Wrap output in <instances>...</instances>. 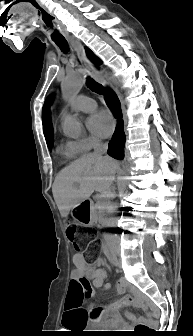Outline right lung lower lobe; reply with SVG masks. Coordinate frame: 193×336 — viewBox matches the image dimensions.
I'll return each mask as SVG.
<instances>
[{
    "instance_id": "right-lung-lower-lobe-1",
    "label": "right lung lower lobe",
    "mask_w": 193,
    "mask_h": 336,
    "mask_svg": "<svg viewBox=\"0 0 193 336\" xmlns=\"http://www.w3.org/2000/svg\"><path fill=\"white\" fill-rule=\"evenodd\" d=\"M105 100L114 116L117 119L121 118L120 102L111 90H107ZM124 144L125 133L123 130V121L119 120L112 139L109 142L108 154L115 159L122 160L124 158Z\"/></svg>"
}]
</instances>
